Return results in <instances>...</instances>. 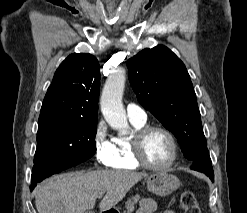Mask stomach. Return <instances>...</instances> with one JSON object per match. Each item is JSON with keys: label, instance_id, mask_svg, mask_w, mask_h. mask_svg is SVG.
<instances>
[{"label": "stomach", "instance_id": "1", "mask_svg": "<svg viewBox=\"0 0 247 213\" xmlns=\"http://www.w3.org/2000/svg\"><path fill=\"white\" fill-rule=\"evenodd\" d=\"M179 186V179L166 171L155 172L147 179L148 190L157 196H167L177 190Z\"/></svg>", "mask_w": 247, "mask_h": 213}]
</instances>
